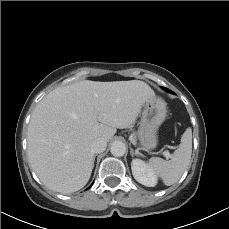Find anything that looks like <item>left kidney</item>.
<instances>
[{"label":"left kidney","mask_w":229,"mask_h":229,"mask_svg":"<svg viewBox=\"0 0 229 229\" xmlns=\"http://www.w3.org/2000/svg\"><path fill=\"white\" fill-rule=\"evenodd\" d=\"M132 174L135 180L147 187H154L157 184V175L149 166L140 159L131 162Z\"/></svg>","instance_id":"1"}]
</instances>
